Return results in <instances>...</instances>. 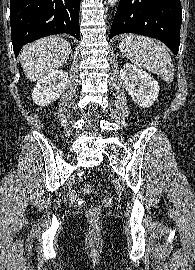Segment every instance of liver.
<instances>
[{
	"instance_id": "liver-1",
	"label": "liver",
	"mask_w": 195,
	"mask_h": 270,
	"mask_svg": "<svg viewBox=\"0 0 195 270\" xmlns=\"http://www.w3.org/2000/svg\"><path fill=\"white\" fill-rule=\"evenodd\" d=\"M70 54L69 42L58 36H49L24 46L20 61L26 77L36 81L60 68Z\"/></svg>"
}]
</instances>
